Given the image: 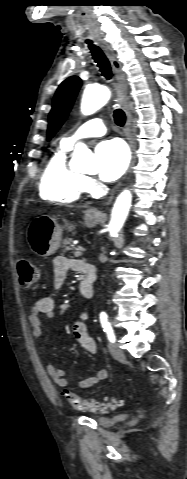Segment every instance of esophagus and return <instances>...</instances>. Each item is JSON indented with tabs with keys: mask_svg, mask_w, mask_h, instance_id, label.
<instances>
[{
	"mask_svg": "<svg viewBox=\"0 0 187 479\" xmlns=\"http://www.w3.org/2000/svg\"><path fill=\"white\" fill-rule=\"evenodd\" d=\"M102 46L105 50V53L111 63L112 69L115 74L116 78V87H117V92L120 98V101L122 103L123 109L126 113V123L124 127V132L126 139L129 143L131 154H133V140H132V115L130 112V108L128 105V100H127V93H128V84L126 80V75L122 69V65L120 61L118 60L116 54L114 53L112 47L102 41ZM119 186V185H118ZM113 195L108 199L106 205H109L112 200H113ZM91 213L94 214H101V211L98 208H92L90 210Z\"/></svg>",
	"mask_w": 187,
	"mask_h": 479,
	"instance_id": "34e87169",
	"label": "esophagus"
}]
</instances>
